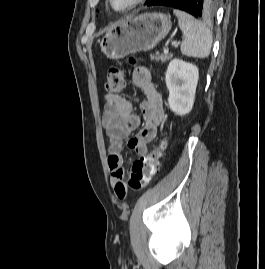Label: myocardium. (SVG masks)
I'll list each match as a JSON object with an SVG mask.
<instances>
[{
  "label": "myocardium",
  "mask_w": 265,
  "mask_h": 269,
  "mask_svg": "<svg viewBox=\"0 0 265 269\" xmlns=\"http://www.w3.org/2000/svg\"><path fill=\"white\" fill-rule=\"evenodd\" d=\"M145 0H130L125 6L123 7H116L114 4V0H108L109 5L111 6V8L116 11V12H120V13H124V12H128L132 9H134L135 7H137L138 5H140L141 3H143Z\"/></svg>",
  "instance_id": "1"
}]
</instances>
